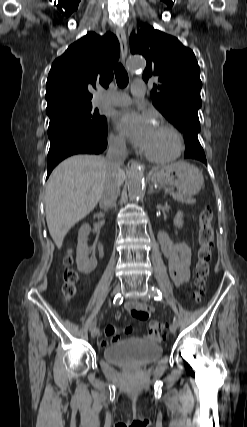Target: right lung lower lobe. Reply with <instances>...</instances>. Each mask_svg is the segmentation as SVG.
Returning a JSON list of instances; mask_svg holds the SVG:
<instances>
[{
	"label": "right lung lower lobe",
	"instance_id": "obj_1",
	"mask_svg": "<svg viewBox=\"0 0 247 427\" xmlns=\"http://www.w3.org/2000/svg\"><path fill=\"white\" fill-rule=\"evenodd\" d=\"M48 136L47 177L63 159L74 154H100L107 146L106 134L67 119L50 120Z\"/></svg>",
	"mask_w": 247,
	"mask_h": 427
}]
</instances>
